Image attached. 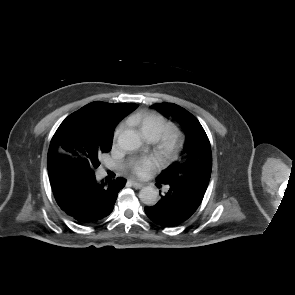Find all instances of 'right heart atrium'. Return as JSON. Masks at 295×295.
Returning a JSON list of instances; mask_svg holds the SVG:
<instances>
[{
  "instance_id": "obj_1",
  "label": "right heart atrium",
  "mask_w": 295,
  "mask_h": 295,
  "mask_svg": "<svg viewBox=\"0 0 295 295\" xmlns=\"http://www.w3.org/2000/svg\"><path fill=\"white\" fill-rule=\"evenodd\" d=\"M122 127L119 126L116 131H115V138L119 135V133L121 132Z\"/></svg>"
}]
</instances>
